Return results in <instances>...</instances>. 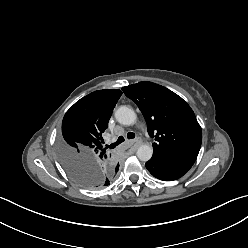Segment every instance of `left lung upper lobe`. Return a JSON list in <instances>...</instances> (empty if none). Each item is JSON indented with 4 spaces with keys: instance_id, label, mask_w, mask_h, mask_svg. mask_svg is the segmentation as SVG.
I'll use <instances>...</instances> for the list:
<instances>
[{
    "instance_id": "obj_1",
    "label": "left lung upper lobe",
    "mask_w": 248,
    "mask_h": 248,
    "mask_svg": "<svg viewBox=\"0 0 248 248\" xmlns=\"http://www.w3.org/2000/svg\"><path fill=\"white\" fill-rule=\"evenodd\" d=\"M141 110L148 133L155 138L153 155L161 158L197 156L202 131L193 110L177 94L148 81L122 88Z\"/></svg>"
}]
</instances>
